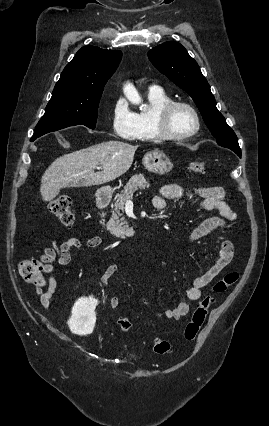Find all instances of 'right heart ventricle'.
I'll return each instance as SVG.
<instances>
[{
	"label": "right heart ventricle",
	"mask_w": 269,
	"mask_h": 426,
	"mask_svg": "<svg viewBox=\"0 0 269 426\" xmlns=\"http://www.w3.org/2000/svg\"><path fill=\"white\" fill-rule=\"evenodd\" d=\"M149 108L147 110L136 113L137 121V139L140 141L159 140V136L154 127L155 113L166 103L172 99L162 90H149L147 94Z\"/></svg>",
	"instance_id": "right-heart-ventricle-1"
}]
</instances>
